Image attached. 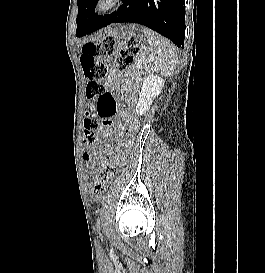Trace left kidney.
<instances>
[{
	"label": "left kidney",
	"mask_w": 265,
	"mask_h": 273,
	"mask_svg": "<svg viewBox=\"0 0 265 273\" xmlns=\"http://www.w3.org/2000/svg\"><path fill=\"white\" fill-rule=\"evenodd\" d=\"M163 86V78L154 75L153 73H150L147 77H145L139 99L135 107L137 114L142 115L148 110L153 100L160 94Z\"/></svg>",
	"instance_id": "5707ae66"
}]
</instances>
